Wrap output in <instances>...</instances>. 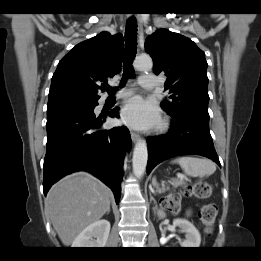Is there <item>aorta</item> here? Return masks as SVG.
<instances>
[{
    "label": "aorta",
    "instance_id": "aorta-1",
    "mask_svg": "<svg viewBox=\"0 0 261 261\" xmlns=\"http://www.w3.org/2000/svg\"><path fill=\"white\" fill-rule=\"evenodd\" d=\"M153 62L150 56L142 55L135 59L134 67L137 70H150ZM148 160L147 142L139 139L135 144L132 158L133 173L137 178H141L146 170Z\"/></svg>",
    "mask_w": 261,
    "mask_h": 261
}]
</instances>
